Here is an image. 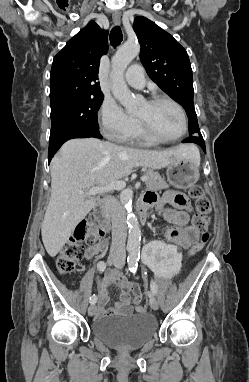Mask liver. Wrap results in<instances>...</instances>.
<instances>
[{
	"label": "liver",
	"mask_w": 249,
	"mask_h": 382,
	"mask_svg": "<svg viewBox=\"0 0 249 382\" xmlns=\"http://www.w3.org/2000/svg\"><path fill=\"white\" fill-rule=\"evenodd\" d=\"M191 156L200 163L192 145L163 151L122 147L96 138L67 141L51 161V197L41 225L47 253L55 257L77 224L95 205L84 193L129 175L134 167L162 169L179 157Z\"/></svg>",
	"instance_id": "obj_1"
}]
</instances>
